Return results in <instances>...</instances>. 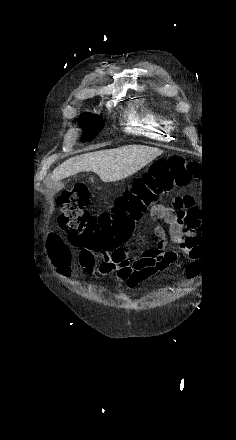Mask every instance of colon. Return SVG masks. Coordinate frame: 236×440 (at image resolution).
Instances as JSON below:
<instances>
[{"instance_id": "1", "label": "colon", "mask_w": 236, "mask_h": 440, "mask_svg": "<svg viewBox=\"0 0 236 440\" xmlns=\"http://www.w3.org/2000/svg\"><path fill=\"white\" fill-rule=\"evenodd\" d=\"M196 168L193 161L181 156L160 160L116 199L110 213L100 215L88 211V187L76 185L58 198L59 226L74 246L96 251L112 250L131 237L149 207L196 178ZM48 239L53 248L62 244V239L55 233H50ZM56 261L62 267L57 256Z\"/></svg>"}]
</instances>
